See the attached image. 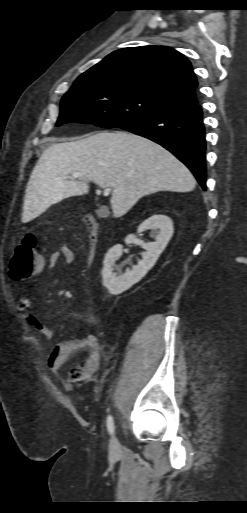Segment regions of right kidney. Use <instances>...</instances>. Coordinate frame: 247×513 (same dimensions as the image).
I'll return each instance as SVG.
<instances>
[{"label": "right kidney", "mask_w": 247, "mask_h": 513, "mask_svg": "<svg viewBox=\"0 0 247 513\" xmlns=\"http://www.w3.org/2000/svg\"><path fill=\"white\" fill-rule=\"evenodd\" d=\"M151 230L153 242H144L134 234H129L125 238V243H134L141 245L146 251L143 253L142 259L132 270H127L124 274L117 276L113 273L115 261L122 255V245L113 246L105 256L104 266L102 270L103 285L113 295L120 294L132 285L140 281L146 273L154 266L160 254L167 246L171 239L174 229L171 218L165 215H153L146 219L138 227V233L145 230Z\"/></svg>", "instance_id": "obj_1"}]
</instances>
